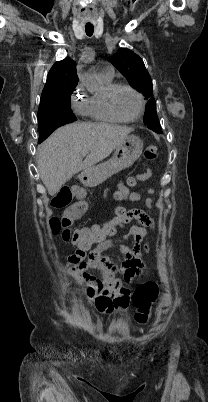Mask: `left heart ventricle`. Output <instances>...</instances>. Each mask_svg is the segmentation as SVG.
Wrapping results in <instances>:
<instances>
[{"label":"left heart ventricle","instance_id":"left-heart-ventricle-1","mask_svg":"<svg viewBox=\"0 0 208 402\" xmlns=\"http://www.w3.org/2000/svg\"><path fill=\"white\" fill-rule=\"evenodd\" d=\"M115 108L123 117L132 118L139 112L140 100L132 91L121 89L115 96Z\"/></svg>","mask_w":208,"mask_h":402}]
</instances>
